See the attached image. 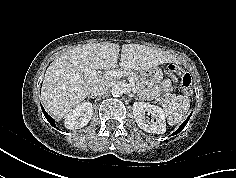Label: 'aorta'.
Segmentation results:
<instances>
[{
  "mask_svg": "<svg viewBox=\"0 0 236 178\" xmlns=\"http://www.w3.org/2000/svg\"><path fill=\"white\" fill-rule=\"evenodd\" d=\"M111 93L113 96L118 97V96L122 95L124 93V91H123L122 87H120L119 85H115L112 87Z\"/></svg>",
  "mask_w": 236,
  "mask_h": 178,
  "instance_id": "1",
  "label": "aorta"
}]
</instances>
